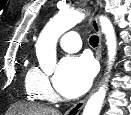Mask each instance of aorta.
<instances>
[{"mask_svg":"<svg viewBox=\"0 0 131 115\" xmlns=\"http://www.w3.org/2000/svg\"><path fill=\"white\" fill-rule=\"evenodd\" d=\"M85 14L78 10H62L51 19L42 30L37 43L36 55L41 69L47 75L54 72L56 67V44L59 37L82 21ZM102 33L106 38L108 49V71L116 56L117 42L114 27L105 16L99 17ZM107 85L103 84L98 91L89 98L82 115H99L105 96Z\"/></svg>","mask_w":131,"mask_h":115,"instance_id":"aorta-1","label":"aorta"}]
</instances>
